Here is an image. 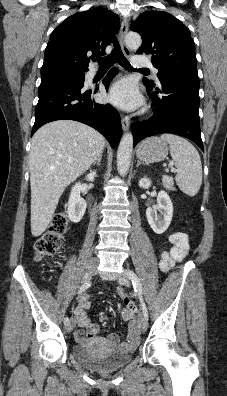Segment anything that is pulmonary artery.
<instances>
[{"label":"pulmonary artery","mask_w":227,"mask_h":396,"mask_svg":"<svg viewBox=\"0 0 227 396\" xmlns=\"http://www.w3.org/2000/svg\"><path fill=\"white\" fill-rule=\"evenodd\" d=\"M132 64L135 67H152L154 72L157 73V69L152 66V63L146 57L134 56L132 58Z\"/></svg>","instance_id":"pulmonary-artery-1"}]
</instances>
